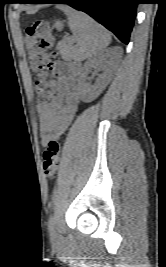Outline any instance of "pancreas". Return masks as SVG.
Wrapping results in <instances>:
<instances>
[{
    "label": "pancreas",
    "instance_id": "1",
    "mask_svg": "<svg viewBox=\"0 0 166 267\" xmlns=\"http://www.w3.org/2000/svg\"><path fill=\"white\" fill-rule=\"evenodd\" d=\"M57 49L63 58L68 59L71 55V44L66 41H60L57 45Z\"/></svg>",
    "mask_w": 166,
    "mask_h": 267
}]
</instances>
